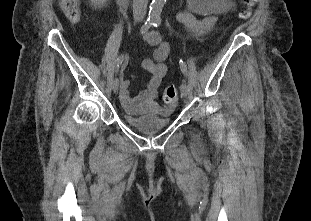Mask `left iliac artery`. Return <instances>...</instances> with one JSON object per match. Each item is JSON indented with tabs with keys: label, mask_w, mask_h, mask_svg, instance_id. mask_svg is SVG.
I'll return each instance as SVG.
<instances>
[{
	"label": "left iliac artery",
	"mask_w": 311,
	"mask_h": 221,
	"mask_svg": "<svg viewBox=\"0 0 311 221\" xmlns=\"http://www.w3.org/2000/svg\"><path fill=\"white\" fill-rule=\"evenodd\" d=\"M161 24V20L160 19H156L155 21H154V26H159ZM179 64H180V68H181V71H182V73L186 76L187 75V68H186V65H185V63L182 61V60H180L179 61Z\"/></svg>",
	"instance_id": "1"
}]
</instances>
